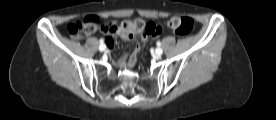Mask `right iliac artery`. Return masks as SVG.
I'll use <instances>...</instances> for the list:
<instances>
[{
	"mask_svg": "<svg viewBox=\"0 0 276 120\" xmlns=\"http://www.w3.org/2000/svg\"><path fill=\"white\" fill-rule=\"evenodd\" d=\"M103 44H104V40L100 39V45H103Z\"/></svg>",
	"mask_w": 276,
	"mask_h": 120,
	"instance_id": "obj_1",
	"label": "right iliac artery"
}]
</instances>
